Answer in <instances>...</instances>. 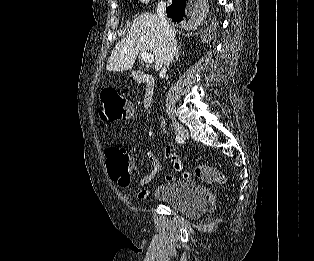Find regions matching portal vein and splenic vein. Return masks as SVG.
Returning <instances> with one entry per match:
<instances>
[{"instance_id":"portal-vein-and-splenic-vein-1","label":"portal vein and splenic vein","mask_w":314,"mask_h":261,"mask_svg":"<svg viewBox=\"0 0 314 261\" xmlns=\"http://www.w3.org/2000/svg\"><path fill=\"white\" fill-rule=\"evenodd\" d=\"M141 58L147 64L154 63V56L151 53H148L146 51L141 52Z\"/></svg>"}]
</instances>
